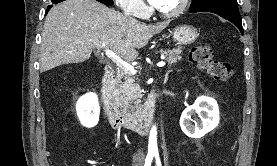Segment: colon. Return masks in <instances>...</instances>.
<instances>
[{"label":"colon","instance_id":"colon-1","mask_svg":"<svg viewBox=\"0 0 277 166\" xmlns=\"http://www.w3.org/2000/svg\"><path fill=\"white\" fill-rule=\"evenodd\" d=\"M189 60L214 80L227 81L231 77V65L215 59L210 45L202 44L191 48Z\"/></svg>","mask_w":277,"mask_h":166}]
</instances>
